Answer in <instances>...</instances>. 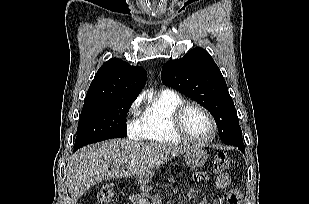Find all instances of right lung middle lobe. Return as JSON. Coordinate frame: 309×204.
I'll return each instance as SVG.
<instances>
[{"mask_svg":"<svg viewBox=\"0 0 309 204\" xmlns=\"http://www.w3.org/2000/svg\"><path fill=\"white\" fill-rule=\"evenodd\" d=\"M135 98H114L84 104L75 150L87 144L127 135L126 116Z\"/></svg>","mask_w":309,"mask_h":204,"instance_id":"dd1d6c3e","label":"right lung middle lobe"}]
</instances>
